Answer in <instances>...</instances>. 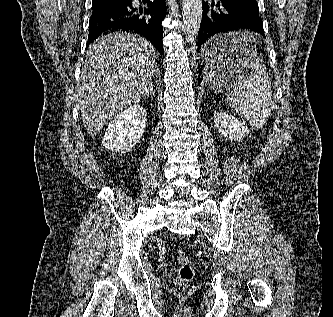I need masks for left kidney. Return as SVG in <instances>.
Here are the masks:
<instances>
[{
    "label": "left kidney",
    "instance_id": "1",
    "mask_svg": "<svg viewBox=\"0 0 333 317\" xmlns=\"http://www.w3.org/2000/svg\"><path fill=\"white\" fill-rule=\"evenodd\" d=\"M214 124L218 132L230 140L241 141L249 134L244 123L224 111L214 113Z\"/></svg>",
    "mask_w": 333,
    "mask_h": 317
}]
</instances>
